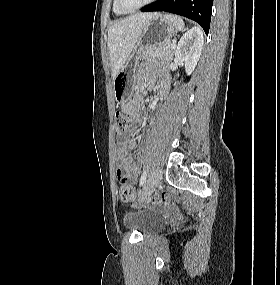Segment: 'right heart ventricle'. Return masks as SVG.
<instances>
[{"mask_svg": "<svg viewBox=\"0 0 280 285\" xmlns=\"http://www.w3.org/2000/svg\"><path fill=\"white\" fill-rule=\"evenodd\" d=\"M112 7H113V11H114L115 14H117V15L126 14L125 12H123V11H121V10L119 9V7L117 6L116 0H113V5H112Z\"/></svg>", "mask_w": 280, "mask_h": 285, "instance_id": "obj_1", "label": "right heart ventricle"}]
</instances>
